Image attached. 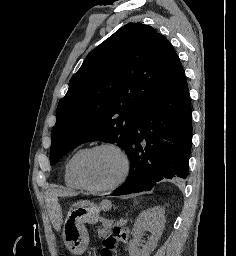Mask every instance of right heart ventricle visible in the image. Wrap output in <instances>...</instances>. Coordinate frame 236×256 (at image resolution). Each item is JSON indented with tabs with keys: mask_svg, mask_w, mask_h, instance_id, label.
Wrapping results in <instances>:
<instances>
[{
	"mask_svg": "<svg viewBox=\"0 0 236 256\" xmlns=\"http://www.w3.org/2000/svg\"><path fill=\"white\" fill-rule=\"evenodd\" d=\"M87 150V147H81L77 150H75L73 153H71L65 163H64V169H63V179L64 183L67 187L71 189L81 190L83 187L78 181L77 174H76V168L79 158L82 156V154Z\"/></svg>",
	"mask_w": 236,
	"mask_h": 256,
	"instance_id": "right-heart-ventricle-1",
	"label": "right heart ventricle"
}]
</instances>
